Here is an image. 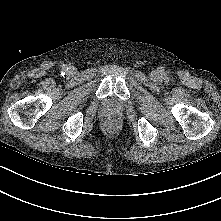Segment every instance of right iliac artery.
I'll list each match as a JSON object with an SVG mask.
<instances>
[{
  "label": "right iliac artery",
  "instance_id": "82829eb1",
  "mask_svg": "<svg viewBox=\"0 0 221 221\" xmlns=\"http://www.w3.org/2000/svg\"><path fill=\"white\" fill-rule=\"evenodd\" d=\"M63 69L65 70V69H66V67L64 66V67H63Z\"/></svg>",
  "mask_w": 221,
  "mask_h": 221
}]
</instances>
